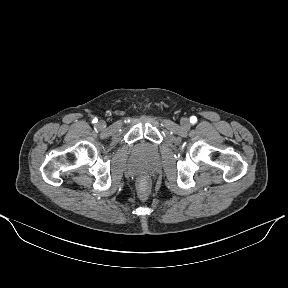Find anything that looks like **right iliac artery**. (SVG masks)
I'll return each instance as SVG.
<instances>
[{"mask_svg": "<svg viewBox=\"0 0 288 288\" xmlns=\"http://www.w3.org/2000/svg\"><path fill=\"white\" fill-rule=\"evenodd\" d=\"M98 122V120L96 119V118H94L93 120H92V123L93 124H95V123H97Z\"/></svg>", "mask_w": 288, "mask_h": 288, "instance_id": "obj_1", "label": "right iliac artery"}]
</instances>
